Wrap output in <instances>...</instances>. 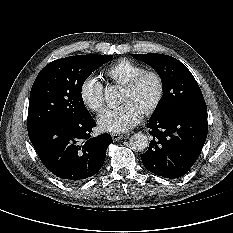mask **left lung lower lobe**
I'll use <instances>...</instances> for the list:
<instances>
[{
    "label": "left lung lower lobe",
    "instance_id": "0a47b994",
    "mask_svg": "<svg viewBox=\"0 0 233 233\" xmlns=\"http://www.w3.org/2000/svg\"><path fill=\"white\" fill-rule=\"evenodd\" d=\"M148 128L153 140L141 155L143 165L155 175L178 178L200 155L208 132L207 112L178 111L150 121Z\"/></svg>",
    "mask_w": 233,
    "mask_h": 233
}]
</instances>
